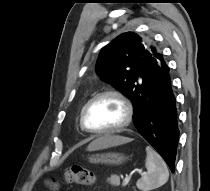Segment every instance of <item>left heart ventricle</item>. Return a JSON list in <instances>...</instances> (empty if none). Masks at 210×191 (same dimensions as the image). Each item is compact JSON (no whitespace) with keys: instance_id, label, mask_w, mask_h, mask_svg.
Listing matches in <instances>:
<instances>
[{"instance_id":"obj_1","label":"left heart ventricle","mask_w":210,"mask_h":191,"mask_svg":"<svg viewBox=\"0 0 210 191\" xmlns=\"http://www.w3.org/2000/svg\"><path fill=\"white\" fill-rule=\"evenodd\" d=\"M124 116V107L119 100L114 97H104L90 107L86 122L92 129H106L119 125Z\"/></svg>"}]
</instances>
